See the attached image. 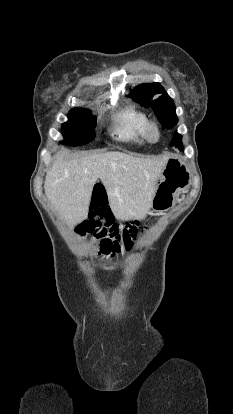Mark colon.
I'll use <instances>...</instances> for the list:
<instances>
[{
  "label": "colon",
  "instance_id": "colon-1",
  "mask_svg": "<svg viewBox=\"0 0 233 414\" xmlns=\"http://www.w3.org/2000/svg\"><path fill=\"white\" fill-rule=\"evenodd\" d=\"M136 223L119 225L113 220L112 213L90 211L88 219L83 223L82 230L93 232L99 246L92 249L93 253H116L131 247L136 237Z\"/></svg>",
  "mask_w": 233,
  "mask_h": 414
}]
</instances>
